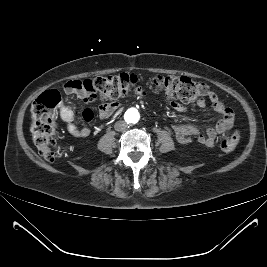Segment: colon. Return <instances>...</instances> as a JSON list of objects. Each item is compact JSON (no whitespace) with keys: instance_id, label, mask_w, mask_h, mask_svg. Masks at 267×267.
<instances>
[{"instance_id":"1","label":"colon","mask_w":267,"mask_h":267,"mask_svg":"<svg viewBox=\"0 0 267 267\" xmlns=\"http://www.w3.org/2000/svg\"><path fill=\"white\" fill-rule=\"evenodd\" d=\"M139 77L133 73H121L113 76H102L94 79L75 82L82 86L91 100L100 99L103 102L117 100L127 96L132 91L137 92L136 85ZM155 93L166 99L176 102H191L210 94L208 86L202 82L186 76H154L147 79ZM60 94L56 90L42 93L33 103L30 127L32 140L40 154L47 162H53L58 153L54 139L56 130V109L60 103ZM241 132L234 131L221 141L224 151H231L239 144Z\"/></svg>"}]
</instances>
